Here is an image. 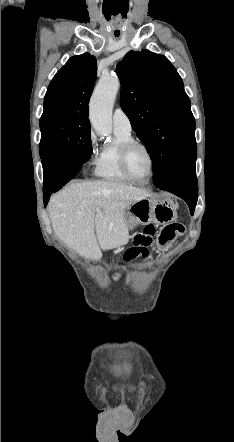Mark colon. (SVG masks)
Returning a JSON list of instances; mask_svg holds the SVG:
<instances>
[{"instance_id": "1", "label": "colon", "mask_w": 234, "mask_h": 442, "mask_svg": "<svg viewBox=\"0 0 234 442\" xmlns=\"http://www.w3.org/2000/svg\"><path fill=\"white\" fill-rule=\"evenodd\" d=\"M184 226L181 223H170L165 225L158 233L156 238L157 247L161 250L167 249L172 241L182 235ZM156 234L154 225L149 224L141 232L134 236V245L126 250L125 258L131 260L139 255L147 256L148 248L152 244L153 237Z\"/></svg>"}]
</instances>
